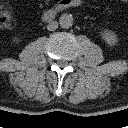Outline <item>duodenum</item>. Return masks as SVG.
Here are the masks:
<instances>
[{"mask_svg": "<svg viewBox=\"0 0 128 128\" xmlns=\"http://www.w3.org/2000/svg\"><path fill=\"white\" fill-rule=\"evenodd\" d=\"M81 4V0H60L54 7L43 13V19L47 22L53 21L59 12L68 8H77Z\"/></svg>", "mask_w": 128, "mask_h": 128, "instance_id": "obj_1", "label": "duodenum"}]
</instances>
